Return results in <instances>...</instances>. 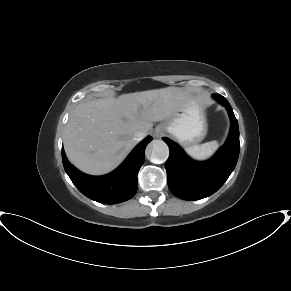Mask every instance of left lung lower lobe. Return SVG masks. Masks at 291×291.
Here are the masks:
<instances>
[{
  "mask_svg": "<svg viewBox=\"0 0 291 291\" xmlns=\"http://www.w3.org/2000/svg\"><path fill=\"white\" fill-rule=\"evenodd\" d=\"M213 97L224 105L229 113L231 128L225 145L208 161L196 162L168 138L170 156L165 164L170 191L184 200H199L216 192L234 170L239 156V128L233 110L220 94Z\"/></svg>",
  "mask_w": 291,
  "mask_h": 291,
  "instance_id": "1",
  "label": "left lung lower lobe"
}]
</instances>
